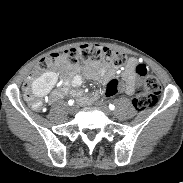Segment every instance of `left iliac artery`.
<instances>
[{"mask_svg": "<svg viewBox=\"0 0 183 183\" xmlns=\"http://www.w3.org/2000/svg\"><path fill=\"white\" fill-rule=\"evenodd\" d=\"M109 109H110V110H114V109H115V106H114L113 104H110V105H109Z\"/></svg>", "mask_w": 183, "mask_h": 183, "instance_id": "left-iliac-artery-1", "label": "left iliac artery"}]
</instances>
